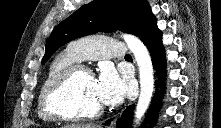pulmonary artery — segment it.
Segmentation results:
<instances>
[{
	"label": "pulmonary artery",
	"instance_id": "pulmonary-artery-1",
	"mask_svg": "<svg viewBox=\"0 0 221 128\" xmlns=\"http://www.w3.org/2000/svg\"><path fill=\"white\" fill-rule=\"evenodd\" d=\"M80 60L114 57L126 59L125 44L119 40L99 38L89 35L70 42L68 46Z\"/></svg>",
	"mask_w": 221,
	"mask_h": 128
}]
</instances>
